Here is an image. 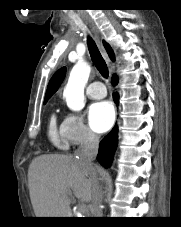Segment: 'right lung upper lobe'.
<instances>
[{"instance_id":"right-lung-upper-lobe-1","label":"right lung upper lobe","mask_w":181,"mask_h":227,"mask_svg":"<svg viewBox=\"0 0 181 227\" xmlns=\"http://www.w3.org/2000/svg\"><path fill=\"white\" fill-rule=\"evenodd\" d=\"M104 46H105L110 58L112 60H114V53H113L111 47L106 42H104ZM65 73H66L65 67L59 69L57 72L54 73V75L52 76V78L49 81L44 101H48V99L51 97V95L57 91V89L59 88V86L61 85V83L64 80Z\"/></svg>"}]
</instances>
